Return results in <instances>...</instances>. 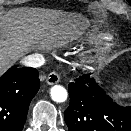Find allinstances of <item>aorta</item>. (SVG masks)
Segmentation results:
<instances>
[{
    "mask_svg": "<svg viewBox=\"0 0 131 131\" xmlns=\"http://www.w3.org/2000/svg\"><path fill=\"white\" fill-rule=\"evenodd\" d=\"M51 98L55 102H64L67 99V91L63 86L55 85L50 90Z\"/></svg>",
    "mask_w": 131,
    "mask_h": 131,
    "instance_id": "762f6f07",
    "label": "aorta"
}]
</instances>
